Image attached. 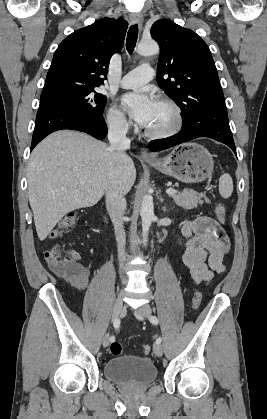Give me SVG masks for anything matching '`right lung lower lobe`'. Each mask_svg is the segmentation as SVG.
Returning a JSON list of instances; mask_svg holds the SVG:
<instances>
[{
	"label": "right lung lower lobe",
	"mask_w": 267,
	"mask_h": 419,
	"mask_svg": "<svg viewBox=\"0 0 267 419\" xmlns=\"http://www.w3.org/2000/svg\"><path fill=\"white\" fill-rule=\"evenodd\" d=\"M62 129L82 131L99 140L107 135V126L103 118H87L64 105L43 100L40 101L36 116L31 150L47 135Z\"/></svg>",
	"instance_id": "1"
}]
</instances>
